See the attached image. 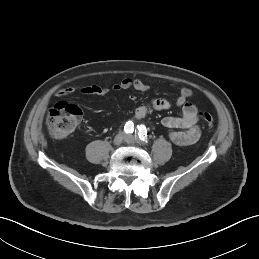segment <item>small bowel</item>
Masks as SVG:
<instances>
[{
	"label": "small bowel",
	"mask_w": 259,
	"mask_h": 259,
	"mask_svg": "<svg viewBox=\"0 0 259 259\" xmlns=\"http://www.w3.org/2000/svg\"><path fill=\"white\" fill-rule=\"evenodd\" d=\"M135 89L140 92H147L150 86L140 80L132 78H124L119 83L112 87L113 92H120L124 90ZM110 89L97 85L90 84L85 86H69L57 90L56 95L59 97L72 96L76 93L82 95L105 96L109 93ZM193 90L188 87H182L179 90L178 97L175 104L181 107L182 114L180 116H167L164 117L162 123L165 127L169 128L168 138L177 146H187L194 144L198 141L201 135V130L198 125L199 115L197 107L190 102L193 97ZM172 107V103L165 98H156L150 103L142 104L135 110L134 116L136 119H143L149 112L165 111Z\"/></svg>",
	"instance_id": "1"
}]
</instances>
